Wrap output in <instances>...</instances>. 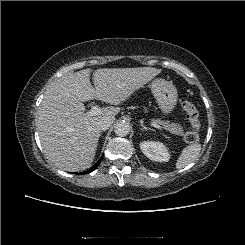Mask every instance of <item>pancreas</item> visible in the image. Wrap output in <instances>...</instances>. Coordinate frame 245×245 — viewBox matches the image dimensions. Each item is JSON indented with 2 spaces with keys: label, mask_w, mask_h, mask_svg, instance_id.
<instances>
[{
  "label": "pancreas",
  "mask_w": 245,
  "mask_h": 245,
  "mask_svg": "<svg viewBox=\"0 0 245 245\" xmlns=\"http://www.w3.org/2000/svg\"><path fill=\"white\" fill-rule=\"evenodd\" d=\"M154 123L160 124L164 129L175 135H184L183 127L177 123H169L168 121H161L160 119L153 120Z\"/></svg>",
  "instance_id": "pancreas-1"
}]
</instances>
